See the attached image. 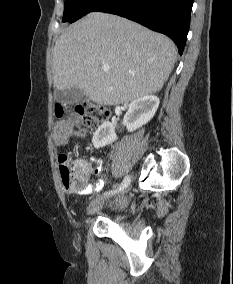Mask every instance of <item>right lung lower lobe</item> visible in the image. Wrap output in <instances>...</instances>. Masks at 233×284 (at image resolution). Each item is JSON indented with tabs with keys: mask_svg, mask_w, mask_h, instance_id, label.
Instances as JSON below:
<instances>
[{
	"mask_svg": "<svg viewBox=\"0 0 233 284\" xmlns=\"http://www.w3.org/2000/svg\"><path fill=\"white\" fill-rule=\"evenodd\" d=\"M193 0H107L95 12L116 14L170 37L182 55Z\"/></svg>",
	"mask_w": 233,
	"mask_h": 284,
	"instance_id": "1",
	"label": "right lung lower lobe"
}]
</instances>
